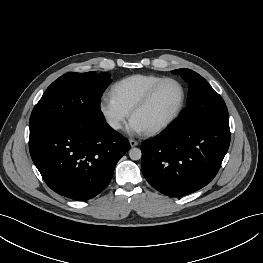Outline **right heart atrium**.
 Segmentation results:
<instances>
[{
  "mask_svg": "<svg viewBox=\"0 0 263 263\" xmlns=\"http://www.w3.org/2000/svg\"><path fill=\"white\" fill-rule=\"evenodd\" d=\"M100 113L110 129L118 131L127 119L129 112L120 106L111 94L103 95L99 102Z\"/></svg>",
  "mask_w": 263,
  "mask_h": 263,
  "instance_id": "d8ad5b80",
  "label": "right heart atrium"
}]
</instances>
